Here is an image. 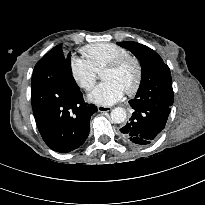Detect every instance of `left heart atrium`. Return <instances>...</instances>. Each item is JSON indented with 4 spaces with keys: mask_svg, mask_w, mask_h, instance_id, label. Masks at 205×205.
<instances>
[{
    "mask_svg": "<svg viewBox=\"0 0 205 205\" xmlns=\"http://www.w3.org/2000/svg\"><path fill=\"white\" fill-rule=\"evenodd\" d=\"M124 88L115 81H104L89 95V100L95 104L108 106L118 102L124 95Z\"/></svg>",
    "mask_w": 205,
    "mask_h": 205,
    "instance_id": "left-heart-atrium-1",
    "label": "left heart atrium"
}]
</instances>
